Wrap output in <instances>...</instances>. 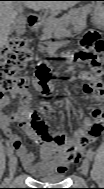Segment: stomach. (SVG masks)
<instances>
[{
	"instance_id": "1",
	"label": "stomach",
	"mask_w": 104,
	"mask_h": 189,
	"mask_svg": "<svg viewBox=\"0 0 104 189\" xmlns=\"http://www.w3.org/2000/svg\"><path fill=\"white\" fill-rule=\"evenodd\" d=\"M97 7L102 8V4L98 3ZM100 14L102 15V13L100 12V10H98V8H97V10L95 9V11H94V17H95V19L98 18V17H100L101 16Z\"/></svg>"
}]
</instances>
